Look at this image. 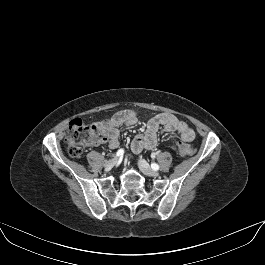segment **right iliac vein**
<instances>
[{
	"instance_id": "right-iliac-vein-1",
	"label": "right iliac vein",
	"mask_w": 265,
	"mask_h": 265,
	"mask_svg": "<svg viewBox=\"0 0 265 265\" xmlns=\"http://www.w3.org/2000/svg\"><path fill=\"white\" fill-rule=\"evenodd\" d=\"M116 160H117L116 157H113L112 159L106 161L104 164V168L106 170H110L115 165Z\"/></svg>"
}]
</instances>
